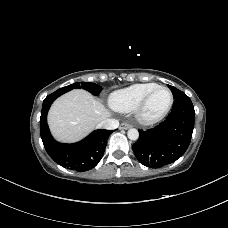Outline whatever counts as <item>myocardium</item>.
I'll use <instances>...</instances> for the list:
<instances>
[{"mask_svg":"<svg viewBox=\"0 0 228 228\" xmlns=\"http://www.w3.org/2000/svg\"><path fill=\"white\" fill-rule=\"evenodd\" d=\"M160 89H164V90L168 91V93L170 94V103L163 113H161L160 115H158L156 117L148 118L144 114L145 107H146L149 99L152 97V95ZM173 104H174V96H173L172 91L166 86L159 85V86L155 87L154 89H152L150 92H148L144 96V98L140 101V103L138 104V106L135 109V119L142 126L155 125V124L161 122L169 114V112L171 111V109L173 107Z\"/></svg>","mask_w":228,"mask_h":228,"instance_id":"obj_1","label":"myocardium"}]
</instances>
